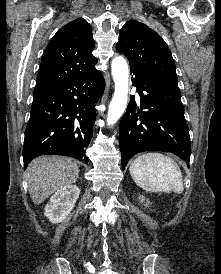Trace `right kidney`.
Segmentation results:
<instances>
[{
    "label": "right kidney",
    "instance_id": "1",
    "mask_svg": "<svg viewBox=\"0 0 221 274\" xmlns=\"http://www.w3.org/2000/svg\"><path fill=\"white\" fill-rule=\"evenodd\" d=\"M80 189L76 185H69L55 192L46 205L44 215L51 223L62 222L72 211Z\"/></svg>",
    "mask_w": 221,
    "mask_h": 274
}]
</instances>
